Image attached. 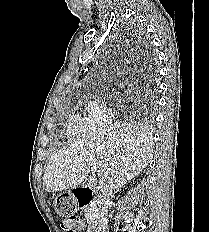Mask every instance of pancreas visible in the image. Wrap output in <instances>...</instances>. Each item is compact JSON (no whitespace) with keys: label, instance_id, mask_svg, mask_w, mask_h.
<instances>
[{"label":"pancreas","instance_id":"cf45deb5","mask_svg":"<svg viewBox=\"0 0 209 232\" xmlns=\"http://www.w3.org/2000/svg\"><path fill=\"white\" fill-rule=\"evenodd\" d=\"M85 217L89 224L94 223L97 219H99V209L96 206H90L86 209Z\"/></svg>","mask_w":209,"mask_h":232}]
</instances>
